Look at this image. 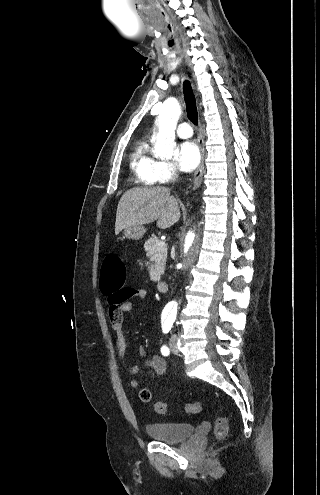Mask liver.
Returning a JSON list of instances; mask_svg holds the SVG:
<instances>
[{
	"instance_id": "1",
	"label": "liver",
	"mask_w": 320,
	"mask_h": 495,
	"mask_svg": "<svg viewBox=\"0 0 320 495\" xmlns=\"http://www.w3.org/2000/svg\"><path fill=\"white\" fill-rule=\"evenodd\" d=\"M180 219L178 201L164 187L133 188L121 197L116 213L115 235L132 225L149 224L166 229Z\"/></svg>"
}]
</instances>
